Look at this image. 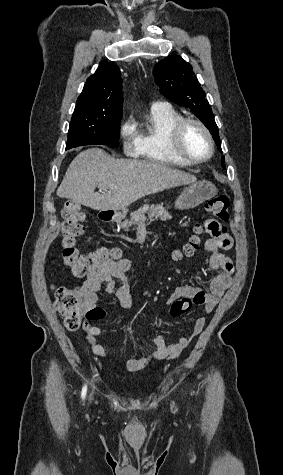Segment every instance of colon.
Returning a JSON list of instances; mask_svg holds the SVG:
<instances>
[{"instance_id": "obj_1", "label": "colon", "mask_w": 283, "mask_h": 475, "mask_svg": "<svg viewBox=\"0 0 283 475\" xmlns=\"http://www.w3.org/2000/svg\"><path fill=\"white\" fill-rule=\"evenodd\" d=\"M208 213L217 217L220 224L230 220L229 198L225 194L212 197L206 203ZM62 237L60 241L61 259L71 270L73 276L84 278L94 273L104 263L118 261L122 258L119 249L97 248L88 252L78 249L77 240L83 234V222L86 219L85 209L73 201H67L61 210ZM202 227L195 226L188 241L181 249V254L194 255L201 244ZM55 302L54 310L59 312L64 319V325L69 331H76L82 321L81 311L86 303L81 295V290L75 286H59L53 291ZM192 299L185 298L180 303L171 305L169 311L173 315L187 314Z\"/></svg>"}]
</instances>
